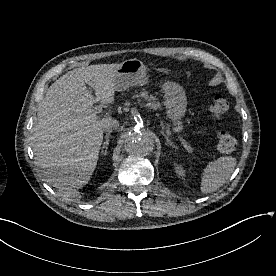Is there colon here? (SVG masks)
Segmentation results:
<instances>
[{
  "label": "colon",
  "mask_w": 276,
  "mask_h": 276,
  "mask_svg": "<svg viewBox=\"0 0 276 276\" xmlns=\"http://www.w3.org/2000/svg\"><path fill=\"white\" fill-rule=\"evenodd\" d=\"M229 111V102L222 95H216L209 106V113L214 119H221ZM237 139L227 131L217 134V148L223 154L232 153L237 147Z\"/></svg>",
  "instance_id": "obj_1"
}]
</instances>
